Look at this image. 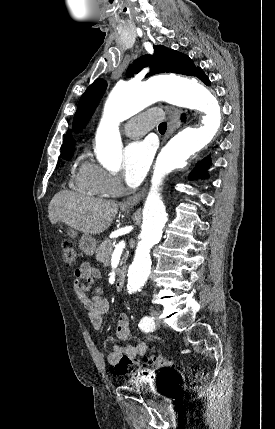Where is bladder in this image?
Instances as JSON below:
<instances>
[{
	"instance_id": "obj_1",
	"label": "bladder",
	"mask_w": 275,
	"mask_h": 429,
	"mask_svg": "<svg viewBox=\"0 0 275 429\" xmlns=\"http://www.w3.org/2000/svg\"><path fill=\"white\" fill-rule=\"evenodd\" d=\"M135 393H148L149 398H174V379L152 377L151 384H135Z\"/></svg>"
}]
</instances>
